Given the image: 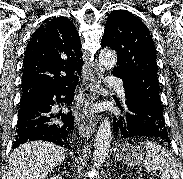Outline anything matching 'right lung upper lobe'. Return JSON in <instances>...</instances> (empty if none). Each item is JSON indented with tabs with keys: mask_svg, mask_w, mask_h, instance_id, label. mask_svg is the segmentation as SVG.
<instances>
[{
	"mask_svg": "<svg viewBox=\"0 0 183 179\" xmlns=\"http://www.w3.org/2000/svg\"><path fill=\"white\" fill-rule=\"evenodd\" d=\"M80 37L66 17H54L32 35L23 60V95L39 86H68L83 65ZM22 95V96H23Z\"/></svg>",
	"mask_w": 183,
	"mask_h": 179,
	"instance_id": "cb5924a9",
	"label": "right lung upper lobe"
}]
</instances>
